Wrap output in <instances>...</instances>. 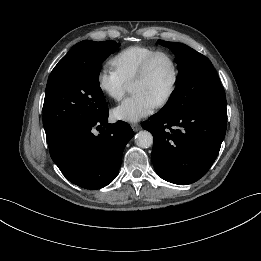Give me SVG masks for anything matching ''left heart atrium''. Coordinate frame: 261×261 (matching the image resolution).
<instances>
[{"mask_svg":"<svg viewBox=\"0 0 261 261\" xmlns=\"http://www.w3.org/2000/svg\"><path fill=\"white\" fill-rule=\"evenodd\" d=\"M157 103L144 93H135L112 110L116 120L137 122L150 115Z\"/></svg>","mask_w":261,"mask_h":261,"instance_id":"obj_1","label":"left heart atrium"}]
</instances>
